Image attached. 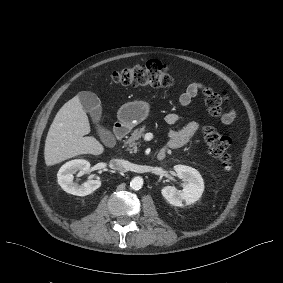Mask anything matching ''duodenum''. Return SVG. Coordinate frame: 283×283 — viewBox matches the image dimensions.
Masks as SVG:
<instances>
[{
	"instance_id": "1",
	"label": "duodenum",
	"mask_w": 283,
	"mask_h": 283,
	"mask_svg": "<svg viewBox=\"0 0 283 283\" xmlns=\"http://www.w3.org/2000/svg\"><path fill=\"white\" fill-rule=\"evenodd\" d=\"M128 133V126L124 122H118L115 124L114 129H113V134L114 137L117 141L122 140L126 134ZM166 157V150L161 149L158 154H157V159L162 161Z\"/></svg>"
}]
</instances>
